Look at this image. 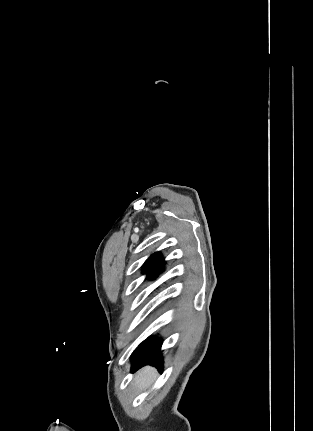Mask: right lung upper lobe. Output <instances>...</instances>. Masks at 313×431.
<instances>
[{"instance_id":"obj_1","label":"right lung upper lobe","mask_w":313,"mask_h":431,"mask_svg":"<svg viewBox=\"0 0 313 431\" xmlns=\"http://www.w3.org/2000/svg\"><path fill=\"white\" fill-rule=\"evenodd\" d=\"M164 263L160 253H154L145 262L143 272L147 274V278L154 279L160 273Z\"/></svg>"}]
</instances>
